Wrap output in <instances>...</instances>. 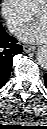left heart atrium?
<instances>
[{
	"mask_svg": "<svg viewBox=\"0 0 47 129\" xmlns=\"http://www.w3.org/2000/svg\"><path fill=\"white\" fill-rule=\"evenodd\" d=\"M47 28L45 23L36 22L19 33V38L26 42L39 43L45 41Z\"/></svg>",
	"mask_w": 47,
	"mask_h": 129,
	"instance_id": "39dd6f15",
	"label": "left heart atrium"
}]
</instances>
